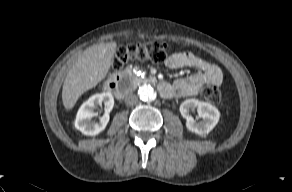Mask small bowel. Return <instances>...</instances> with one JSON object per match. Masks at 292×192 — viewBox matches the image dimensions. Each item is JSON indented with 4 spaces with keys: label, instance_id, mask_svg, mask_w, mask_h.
Returning <instances> with one entry per match:
<instances>
[{
    "label": "small bowel",
    "instance_id": "c3829d8e",
    "mask_svg": "<svg viewBox=\"0 0 292 192\" xmlns=\"http://www.w3.org/2000/svg\"><path fill=\"white\" fill-rule=\"evenodd\" d=\"M165 64L170 69L191 67L198 70V73L170 84L171 91L164 96L166 98L196 95L204 87L220 85L223 80L222 71L216 64L206 61L192 52L173 53L166 59Z\"/></svg>",
    "mask_w": 292,
    "mask_h": 192
}]
</instances>
